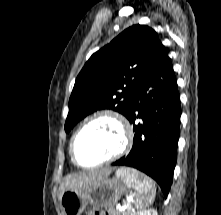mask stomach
Wrapping results in <instances>:
<instances>
[{
	"instance_id": "1",
	"label": "stomach",
	"mask_w": 221,
	"mask_h": 215,
	"mask_svg": "<svg viewBox=\"0 0 221 215\" xmlns=\"http://www.w3.org/2000/svg\"><path fill=\"white\" fill-rule=\"evenodd\" d=\"M121 170L134 173L141 180L145 177L135 170ZM129 187L123 177L116 176L104 178L85 190H67L60 197L63 215H81L88 205L112 209Z\"/></svg>"
}]
</instances>
